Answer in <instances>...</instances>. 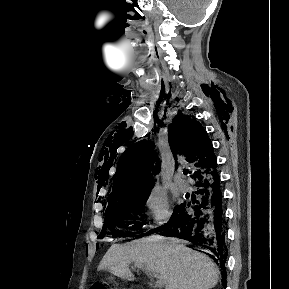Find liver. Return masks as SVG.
I'll use <instances>...</instances> for the list:
<instances>
[{"mask_svg": "<svg viewBox=\"0 0 289 289\" xmlns=\"http://www.w3.org/2000/svg\"><path fill=\"white\" fill-rule=\"evenodd\" d=\"M132 262L158 275L165 289H211L219 279L215 263L208 256L184 246L179 239L160 236L113 244L98 269L131 279Z\"/></svg>", "mask_w": 289, "mask_h": 289, "instance_id": "1", "label": "liver"}]
</instances>
